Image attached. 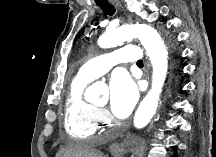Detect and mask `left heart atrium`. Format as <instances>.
<instances>
[{
	"label": "left heart atrium",
	"mask_w": 216,
	"mask_h": 157,
	"mask_svg": "<svg viewBox=\"0 0 216 157\" xmlns=\"http://www.w3.org/2000/svg\"><path fill=\"white\" fill-rule=\"evenodd\" d=\"M139 98L135 81L124 71L115 72L109 83V102L112 112L120 118L127 117Z\"/></svg>",
	"instance_id": "obj_1"
}]
</instances>
